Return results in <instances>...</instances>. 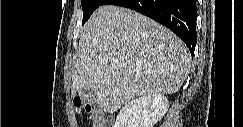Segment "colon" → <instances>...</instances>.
I'll list each match as a JSON object with an SVG mask.
<instances>
[{
    "label": "colon",
    "mask_w": 243,
    "mask_h": 127,
    "mask_svg": "<svg viewBox=\"0 0 243 127\" xmlns=\"http://www.w3.org/2000/svg\"><path fill=\"white\" fill-rule=\"evenodd\" d=\"M74 108L77 113H85L87 120L90 122L91 127H103L104 118L99 110L92 104L86 103L82 98L77 97L74 99Z\"/></svg>",
    "instance_id": "5ec220e1"
}]
</instances>
